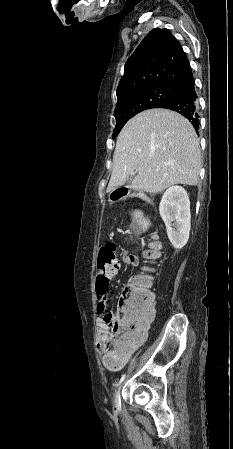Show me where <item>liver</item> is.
Wrapping results in <instances>:
<instances>
[{
  "label": "liver",
  "instance_id": "obj_1",
  "mask_svg": "<svg viewBox=\"0 0 233 449\" xmlns=\"http://www.w3.org/2000/svg\"><path fill=\"white\" fill-rule=\"evenodd\" d=\"M200 168L192 124L174 111L149 109L131 118L118 135L107 192L124 185L133 171L132 188L148 193L176 184L195 186Z\"/></svg>",
  "mask_w": 233,
  "mask_h": 449
}]
</instances>
